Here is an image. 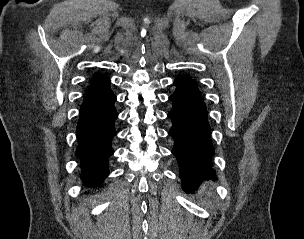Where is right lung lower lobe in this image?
Here are the masks:
<instances>
[{
    "mask_svg": "<svg viewBox=\"0 0 304 239\" xmlns=\"http://www.w3.org/2000/svg\"><path fill=\"white\" fill-rule=\"evenodd\" d=\"M116 96L110 90V80L99 76L91 84L81 105L76 129L82 179L90 186H100L108 175V159L113 154L112 138L117 134L114 121Z\"/></svg>",
    "mask_w": 304,
    "mask_h": 239,
    "instance_id": "1",
    "label": "right lung lower lobe"
}]
</instances>
